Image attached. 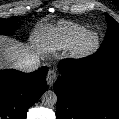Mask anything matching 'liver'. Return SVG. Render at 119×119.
<instances>
[{
	"label": "liver",
	"instance_id": "liver-1",
	"mask_svg": "<svg viewBox=\"0 0 119 119\" xmlns=\"http://www.w3.org/2000/svg\"><path fill=\"white\" fill-rule=\"evenodd\" d=\"M49 44L50 41L46 39L43 31L35 32L29 44L0 36V68L18 69L21 63L32 57L42 58L47 53Z\"/></svg>",
	"mask_w": 119,
	"mask_h": 119
}]
</instances>
